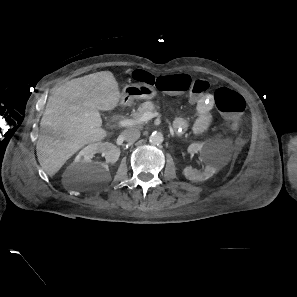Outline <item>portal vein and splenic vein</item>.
<instances>
[{
    "instance_id": "1",
    "label": "portal vein and splenic vein",
    "mask_w": 297,
    "mask_h": 297,
    "mask_svg": "<svg viewBox=\"0 0 297 297\" xmlns=\"http://www.w3.org/2000/svg\"><path fill=\"white\" fill-rule=\"evenodd\" d=\"M159 116V113L157 112H145L140 117L134 118V119H123L118 122L119 127H127V126H133L137 124H142L144 122H148L152 118Z\"/></svg>"
}]
</instances>
